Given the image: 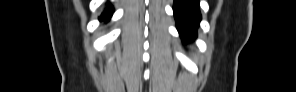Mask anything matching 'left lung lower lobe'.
I'll use <instances>...</instances> for the list:
<instances>
[{
	"mask_svg": "<svg viewBox=\"0 0 296 92\" xmlns=\"http://www.w3.org/2000/svg\"><path fill=\"white\" fill-rule=\"evenodd\" d=\"M173 11L183 41L196 38L201 20L198 0H174Z\"/></svg>",
	"mask_w": 296,
	"mask_h": 92,
	"instance_id": "obj_1",
	"label": "left lung lower lobe"
}]
</instances>
